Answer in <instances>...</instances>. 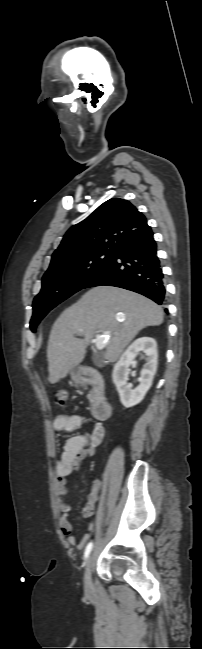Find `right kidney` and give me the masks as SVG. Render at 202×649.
Masks as SVG:
<instances>
[{
  "mask_svg": "<svg viewBox=\"0 0 202 649\" xmlns=\"http://www.w3.org/2000/svg\"><path fill=\"white\" fill-rule=\"evenodd\" d=\"M140 352L145 353L146 364L140 373L139 386L132 389V386L127 383L130 372L129 367ZM157 358L156 341L148 336H143L133 341L121 355L113 368L112 378L124 407H132L143 400L147 391L152 386L153 378L157 370Z\"/></svg>",
  "mask_w": 202,
  "mask_h": 649,
  "instance_id": "1",
  "label": "right kidney"
}]
</instances>
